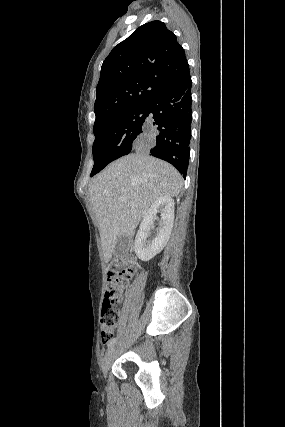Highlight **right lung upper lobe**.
I'll return each instance as SVG.
<instances>
[{
  "label": "right lung upper lobe",
  "mask_w": 285,
  "mask_h": 427,
  "mask_svg": "<svg viewBox=\"0 0 285 427\" xmlns=\"http://www.w3.org/2000/svg\"><path fill=\"white\" fill-rule=\"evenodd\" d=\"M188 73L184 49L163 22L140 26L102 64L94 127L123 110L148 103Z\"/></svg>",
  "instance_id": "obj_1"
}]
</instances>
